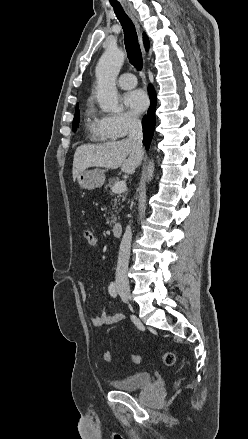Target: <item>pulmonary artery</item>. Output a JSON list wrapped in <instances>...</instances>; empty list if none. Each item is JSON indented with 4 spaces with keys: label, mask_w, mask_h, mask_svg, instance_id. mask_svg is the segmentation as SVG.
Masks as SVG:
<instances>
[{
    "label": "pulmonary artery",
    "mask_w": 248,
    "mask_h": 439,
    "mask_svg": "<svg viewBox=\"0 0 248 439\" xmlns=\"http://www.w3.org/2000/svg\"><path fill=\"white\" fill-rule=\"evenodd\" d=\"M137 84L136 77L132 73H124L118 79V85L122 89L134 88Z\"/></svg>",
    "instance_id": "1"
}]
</instances>
